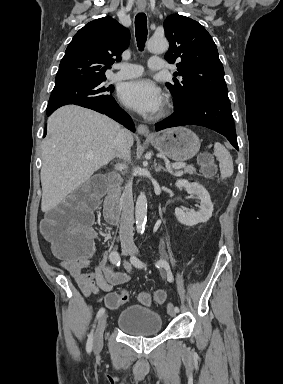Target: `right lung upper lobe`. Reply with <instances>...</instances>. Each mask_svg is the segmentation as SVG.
Listing matches in <instances>:
<instances>
[{"label": "right lung upper lobe", "instance_id": "cb5924a9", "mask_svg": "<svg viewBox=\"0 0 283 384\" xmlns=\"http://www.w3.org/2000/svg\"><path fill=\"white\" fill-rule=\"evenodd\" d=\"M130 33L112 17L93 20L68 45L55 78V87L106 79L105 71L128 47Z\"/></svg>", "mask_w": 283, "mask_h": 384}]
</instances>
